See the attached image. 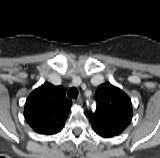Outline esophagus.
Returning <instances> with one entry per match:
<instances>
[{"mask_svg":"<svg viewBox=\"0 0 160 158\" xmlns=\"http://www.w3.org/2000/svg\"><path fill=\"white\" fill-rule=\"evenodd\" d=\"M73 102H74L75 104H77V105H82V104H83L82 98H77V99L73 100Z\"/></svg>","mask_w":160,"mask_h":158,"instance_id":"esophagus-1","label":"esophagus"}]
</instances>
